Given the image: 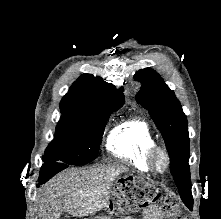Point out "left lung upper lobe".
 I'll use <instances>...</instances> for the list:
<instances>
[{
  "mask_svg": "<svg viewBox=\"0 0 221 219\" xmlns=\"http://www.w3.org/2000/svg\"><path fill=\"white\" fill-rule=\"evenodd\" d=\"M142 87L136 99L149 111L160 130L170 155V171L185 205L192 209L189 171V134L187 119L174 92L158 73L151 68L141 69L134 75Z\"/></svg>",
  "mask_w": 221,
  "mask_h": 219,
  "instance_id": "left-lung-upper-lobe-1",
  "label": "left lung upper lobe"
}]
</instances>
